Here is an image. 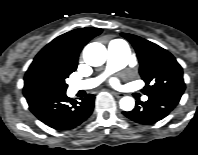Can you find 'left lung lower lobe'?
<instances>
[{"label":"left lung lower lobe","instance_id":"obj_1","mask_svg":"<svg viewBox=\"0 0 198 155\" xmlns=\"http://www.w3.org/2000/svg\"><path fill=\"white\" fill-rule=\"evenodd\" d=\"M146 102L123 114L140 124H153L166 117L179 103L180 98L172 95L148 96Z\"/></svg>","mask_w":198,"mask_h":155}]
</instances>
